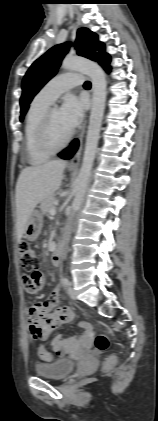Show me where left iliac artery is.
I'll use <instances>...</instances> for the list:
<instances>
[{
	"instance_id": "44dca946",
	"label": "left iliac artery",
	"mask_w": 158,
	"mask_h": 421,
	"mask_svg": "<svg viewBox=\"0 0 158 421\" xmlns=\"http://www.w3.org/2000/svg\"><path fill=\"white\" fill-rule=\"evenodd\" d=\"M62 283L64 284V285H69L70 284V282H69V280L67 279V278H63L62 279Z\"/></svg>"
}]
</instances>
